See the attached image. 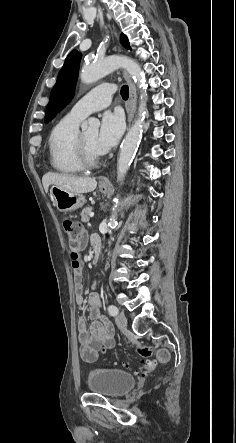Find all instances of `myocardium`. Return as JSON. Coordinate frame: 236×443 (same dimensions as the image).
Masks as SVG:
<instances>
[{
    "instance_id": "f54148a6",
    "label": "myocardium",
    "mask_w": 236,
    "mask_h": 443,
    "mask_svg": "<svg viewBox=\"0 0 236 443\" xmlns=\"http://www.w3.org/2000/svg\"><path fill=\"white\" fill-rule=\"evenodd\" d=\"M77 158L82 168H93L98 165L100 154L91 152L84 140L83 133L79 132L76 139Z\"/></svg>"
}]
</instances>
